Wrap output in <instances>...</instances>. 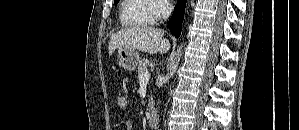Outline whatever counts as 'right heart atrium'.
<instances>
[{"label":"right heart atrium","mask_w":299,"mask_h":130,"mask_svg":"<svg viewBox=\"0 0 299 130\" xmlns=\"http://www.w3.org/2000/svg\"><path fill=\"white\" fill-rule=\"evenodd\" d=\"M153 3L155 4L154 15L156 19L166 17L171 11L172 6L167 0H154Z\"/></svg>","instance_id":"obj_1"}]
</instances>
